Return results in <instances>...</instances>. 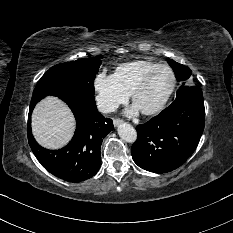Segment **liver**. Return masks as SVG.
Returning <instances> with one entry per match:
<instances>
[{"label": "liver", "instance_id": "obj_1", "mask_svg": "<svg viewBox=\"0 0 233 233\" xmlns=\"http://www.w3.org/2000/svg\"><path fill=\"white\" fill-rule=\"evenodd\" d=\"M74 130V116L59 98L48 96L36 105L32 114V131L37 142L43 147H63L72 138Z\"/></svg>", "mask_w": 233, "mask_h": 233}]
</instances>
